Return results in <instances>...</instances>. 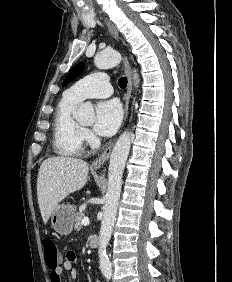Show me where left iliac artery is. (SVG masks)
I'll return each instance as SVG.
<instances>
[{
	"label": "left iliac artery",
	"mask_w": 232,
	"mask_h": 282,
	"mask_svg": "<svg viewBox=\"0 0 232 282\" xmlns=\"http://www.w3.org/2000/svg\"><path fill=\"white\" fill-rule=\"evenodd\" d=\"M105 277L109 281L111 279V273H105Z\"/></svg>",
	"instance_id": "44dca946"
}]
</instances>
